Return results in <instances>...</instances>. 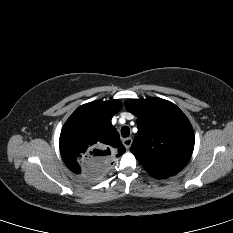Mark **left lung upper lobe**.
Returning a JSON list of instances; mask_svg holds the SVG:
<instances>
[{
    "mask_svg": "<svg viewBox=\"0 0 233 233\" xmlns=\"http://www.w3.org/2000/svg\"><path fill=\"white\" fill-rule=\"evenodd\" d=\"M126 109L137 116L138 132L131 152L154 178L173 176L188 163L194 132L184 113L158 98L127 100Z\"/></svg>",
    "mask_w": 233,
    "mask_h": 233,
    "instance_id": "obj_1",
    "label": "left lung upper lobe"
}]
</instances>
